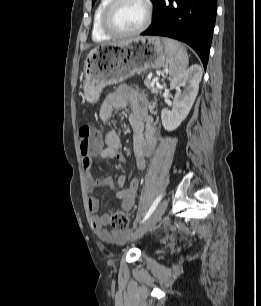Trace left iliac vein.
I'll list each match as a JSON object with an SVG mask.
<instances>
[{
  "instance_id": "obj_1",
  "label": "left iliac vein",
  "mask_w": 261,
  "mask_h": 306,
  "mask_svg": "<svg viewBox=\"0 0 261 306\" xmlns=\"http://www.w3.org/2000/svg\"><path fill=\"white\" fill-rule=\"evenodd\" d=\"M168 206V201L163 200L154 210V212L151 214L149 219L140 226L132 235L130 240L134 241L140 237H142L149 229H151L162 217V215L165 213Z\"/></svg>"
}]
</instances>
